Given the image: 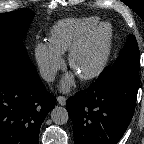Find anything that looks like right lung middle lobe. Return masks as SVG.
<instances>
[{"label": "right lung middle lobe", "instance_id": "right-lung-middle-lobe-1", "mask_svg": "<svg viewBox=\"0 0 144 144\" xmlns=\"http://www.w3.org/2000/svg\"><path fill=\"white\" fill-rule=\"evenodd\" d=\"M34 17L29 9L0 14V69L13 68L32 79L38 77L23 39Z\"/></svg>", "mask_w": 144, "mask_h": 144}]
</instances>
